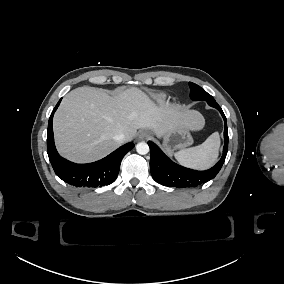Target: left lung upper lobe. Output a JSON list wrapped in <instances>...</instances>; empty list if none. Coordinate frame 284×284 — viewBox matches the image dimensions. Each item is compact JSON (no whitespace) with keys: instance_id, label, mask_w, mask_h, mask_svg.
I'll return each instance as SVG.
<instances>
[{"instance_id":"left-lung-upper-lobe-1","label":"left lung upper lobe","mask_w":284,"mask_h":284,"mask_svg":"<svg viewBox=\"0 0 284 284\" xmlns=\"http://www.w3.org/2000/svg\"><path fill=\"white\" fill-rule=\"evenodd\" d=\"M190 87V98L194 101L204 100L206 102L215 101V99L208 94L205 90H203L200 86L197 84H194L192 82H189Z\"/></svg>"}]
</instances>
